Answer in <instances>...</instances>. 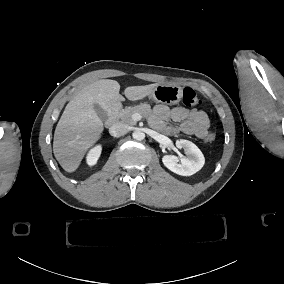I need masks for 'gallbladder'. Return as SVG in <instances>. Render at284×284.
Returning <instances> with one entry per match:
<instances>
[{"label": "gallbladder", "mask_w": 284, "mask_h": 284, "mask_svg": "<svg viewBox=\"0 0 284 284\" xmlns=\"http://www.w3.org/2000/svg\"><path fill=\"white\" fill-rule=\"evenodd\" d=\"M96 112L102 121L106 122L108 120L109 118L108 114L99 107H96Z\"/></svg>", "instance_id": "gallbladder-1"}]
</instances>
